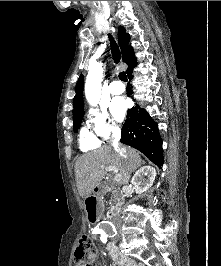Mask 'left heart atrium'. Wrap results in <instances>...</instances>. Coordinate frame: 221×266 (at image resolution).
<instances>
[{"mask_svg":"<svg viewBox=\"0 0 221 266\" xmlns=\"http://www.w3.org/2000/svg\"><path fill=\"white\" fill-rule=\"evenodd\" d=\"M127 104L123 98H116L111 103V112L113 116L121 121L126 113Z\"/></svg>","mask_w":221,"mask_h":266,"instance_id":"1","label":"left heart atrium"}]
</instances>
